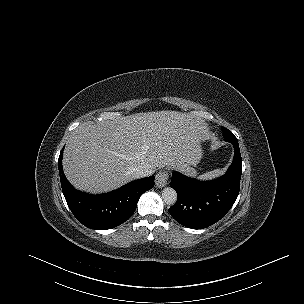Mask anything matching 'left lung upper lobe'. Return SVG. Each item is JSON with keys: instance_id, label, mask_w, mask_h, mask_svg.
<instances>
[{"instance_id": "obj_1", "label": "left lung upper lobe", "mask_w": 304, "mask_h": 304, "mask_svg": "<svg viewBox=\"0 0 304 304\" xmlns=\"http://www.w3.org/2000/svg\"><path fill=\"white\" fill-rule=\"evenodd\" d=\"M222 131H223V136L226 141H229V142L238 141L237 138L233 135V133L231 131H229L228 129L222 127Z\"/></svg>"}]
</instances>
